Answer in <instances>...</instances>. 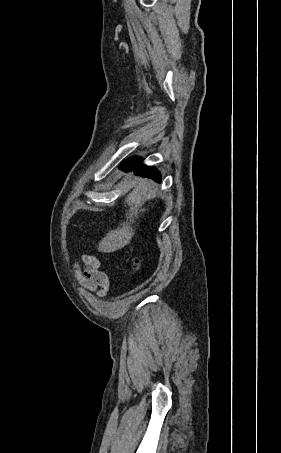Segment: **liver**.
<instances>
[{"instance_id":"liver-1","label":"liver","mask_w":281,"mask_h":453,"mask_svg":"<svg viewBox=\"0 0 281 453\" xmlns=\"http://www.w3.org/2000/svg\"><path fill=\"white\" fill-rule=\"evenodd\" d=\"M136 182V186L131 192H128L124 202L125 206H129L127 212H125L127 220L126 222H120V227H117V229L106 233V237L100 241L97 247L101 253H114V251H119V249H123L125 245H128L135 235V227H132L133 222H136L135 218H138L139 212L148 210V208H143V204L145 196H147L148 192H151L152 180L138 178ZM123 192H127L126 186Z\"/></svg>"}]
</instances>
